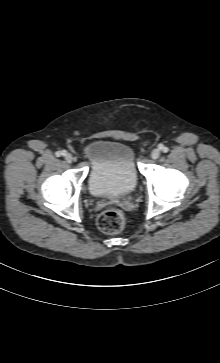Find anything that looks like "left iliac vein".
<instances>
[{
    "mask_svg": "<svg viewBox=\"0 0 220 363\" xmlns=\"http://www.w3.org/2000/svg\"><path fill=\"white\" fill-rule=\"evenodd\" d=\"M160 156V150L159 149H154L152 152H151V157L152 159H158Z\"/></svg>",
    "mask_w": 220,
    "mask_h": 363,
    "instance_id": "obj_1",
    "label": "left iliac vein"
}]
</instances>
